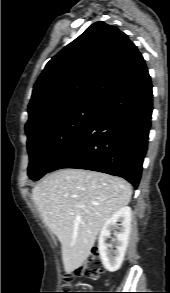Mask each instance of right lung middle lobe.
Here are the masks:
<instances>
[{"instance_id":"1","label":"right lung middle lobe","mask_w":170,"mask_h":293,"mask_svg":"<svg viewBox=\"0 0 170 293\" xmlns=\"http://www.w3.org/2000/svg\"><path fill=\"white\" fill-rule=\"evenodd\" d=\"M100 105L81 104L26 129L30 156L28 176L40 179L54 161L73 144L94 121Z\"/></svg>"}]
</instances>
